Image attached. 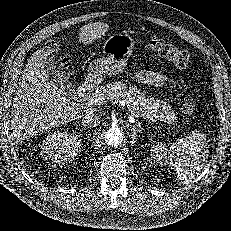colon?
Returning <instances> with one entry per match:
<instances>
[{
    "mask_svg": "<svg viewBox=\"0 0 231 231\" xmlns=\"http://www.w3.org/2000/svg\"><path fill=\"white\" fill-rule=\"evenodd\" d=\"M50 47L55 48V45L52 44ZM149 47L153 52L167 59L177 67H184L189 62V53L186 50L175 47L164 40H152L149 44ZM56 61L66 70L71 69L70 64L65 59L56 58ZM182 108L184 112L188 114H193L196 111V106L190 98H186Z\"/></svg>",
    "mask_w": 231,
    "mask_h": 231,
    "instance_id": "5ec220e1",
    "label": "colon"
}]
</instances>
